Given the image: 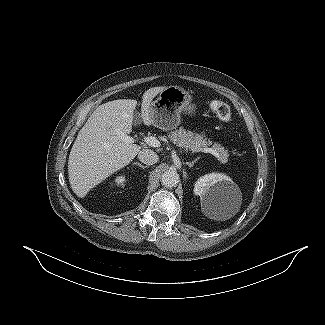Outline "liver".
Masks as SVG:
<instances>
[{
  "label": "liver",
  "instance_id": "1",
  "mask_svg": "<svg viewBox=\"0 0 325 325\" xmlns=\"http://www.w3.org/2000/svg\"><path fill=\"white\" fill-rule=\"evenodd\" d=\"M166 87H153L144 92L141 119L152 125L150 105ZM136 100L118 99L98 106L79 131L70 151L68 177L73 192L80 198L112 173L128 165L141 147L126 143L121 134L132 131Z\"/></svg>",
  "mask_w": 325,
  "mask_h": 325
}]
</instances>
